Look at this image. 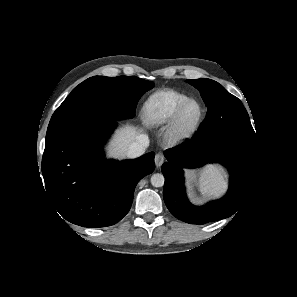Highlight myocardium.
<instances>
[{
  "mask_svg": "<svg viewBox=\"0 0 297 297\" xmlns=\"http://www.w3.org/2000/svg\"><path fill=\"white\" fill-rule=\"evenodd\" d=\"M196 104L199 107V113L196 119L189 126L182 125V116L185 109L190 104ZM205 117V109L203 105L196 99H188L184 103H182L176 112L174 113L172 119L170 120L169 128H168V137L170 141L181 143L188 139H190L199 129Z\"/></svg>",
  "mask_w": 297,
  "mask_h": 297,
  "instance_id": "myocardium-1",
  "label": "myocardium"
}]
</instances>
